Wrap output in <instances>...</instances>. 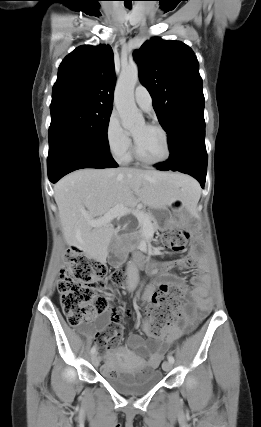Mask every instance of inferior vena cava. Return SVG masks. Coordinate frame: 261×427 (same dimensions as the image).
I'll use <instances>...</instances> for the list:
<instances>
[{
    "label": "inferior vena cava",
    "instance_id": "inferior-vena-cava-1",
    "mask_svg": "<svg viewBox=\"0 0 261 427\" xmlns=\"http://www.w3.org/2000/svg\"><path fill=\"white\" fill-rule=\"evenodd\" d=\"M139 282V271L134 263L127 265V283L130 287H135Z\"/></svg>",
    "mask_w": 261,
    "mask_h": 427
}]
</instances>
